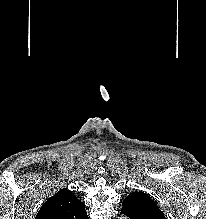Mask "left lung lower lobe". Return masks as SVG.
<instances>
[{
  "label": "left lung lower lobe",
  "instance_id": "1",
  "mask_svg": "<svg viewBox=\"0 0 206 219\" xmlns=\"http://www.w3.org/2000/svg\"><path fill=\"white\" fill-rule=\"evenodd\" d=\"M121 214H124L125 216L129 217V219H142L141 217L135 216L130 211L124 209L121 211Z\"/></svg>",
  "mask_w": 206,
  "mask_h": 219
}]
</instances>
